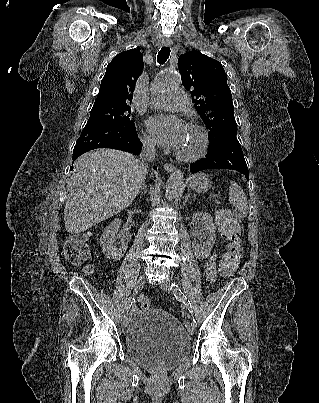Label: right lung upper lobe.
I'll list each match as a JSON object with an SVG mask.
<instances>
[{
	"mask_svg": "<svg viewBox=\"0 0 319 403\" xmlns=\"http://www.w3.org/2000/svg\"><path fill=\"white\" fill-rule=\"evenodd\" d=\"M143 70V56L139 49L124 51L107 66L95 102L130 105L136 81Z\"/></svg>",
	"mask_w": 319,
	"mask_h": 403,
	"instance_id": "obj_1",
	"label": "right lung upper lobe"
}]
</instances>
